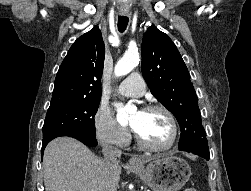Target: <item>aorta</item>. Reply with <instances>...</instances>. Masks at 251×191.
<instances>
[{"mask_svg": "<svg viewBox=\"0 0 251 191\" xmlns=\"http://www.w3.org/2000/svg\"><path fill=\"white\" fill-rule=\"evenodd\" d=\"M139 64V54L138 52H126L123 58L119 60L118 64L115 66V76H126V74H130L133 68ZM117 107V119L121 121V119H127L129 113L134 111L133 105H122V103H116Z\"/></svg>", "mask_w": 251, "mask_h": 191, "instance_id": "aorta-1", "label": "aorta"}]
</instances>
